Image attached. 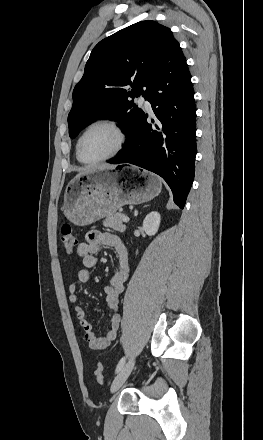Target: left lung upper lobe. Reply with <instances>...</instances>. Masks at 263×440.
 Instances as JSON below:
<instances>
[{"mask_svg": "<svg viewBox=\"0 0 263 440\" xmlns=\"http://www.w3.org/2000/svg\"><path fill=\"white\" fill-rule=\"evenodd\" d=\"M175 44L170 29L152 20L135 23L100 41L73 91L69 136L74 138L101 118L118 119L127 135L143 114L130 98L145 96Z\"/></svg>", "mask_w": 263, "mask_h": 440, "instance_id": "obj_1", "label": "left lung upper lobe"}]
</instances>
